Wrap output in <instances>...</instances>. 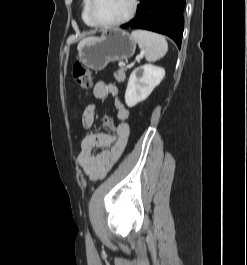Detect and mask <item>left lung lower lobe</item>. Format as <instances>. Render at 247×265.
<instances>
[{
  "label": "left lung lower lobe",
  "mask_w": 247,
  "mask_h": 265,
  "mask_svg": "<svg viewBox=\"0 0 247 265\" xmlns=\"http://www.w3.org/2000/svg\"><path fill=\"white\" fill-rule=\"evenodd\" d=\"M136 17L122 27L151 30L165 34L181 47L186 0H140Z\"/></svg>",
  "instance_id": "obj_1"
}]
</instances>
